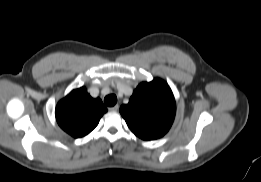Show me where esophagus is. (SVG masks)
Returning a JSON list of instances; mask_svg holds the SVG:
<instances>
[{
	"instance_id": "1",
	"label": "esophagus",
	"mask_w": 261,
	"mask_h": 182,
	"mask_svg": "<svg viewBox=\"0 0 261 182\" xmlns=\"http://www.w3.org/2000/svg\"><path fill=\"white\" fill-rule=\"evenodd\" d=\"M119 109V105H114L113 107L109 108L110 111H117Z\"/></svg>"
}]
</instances>
